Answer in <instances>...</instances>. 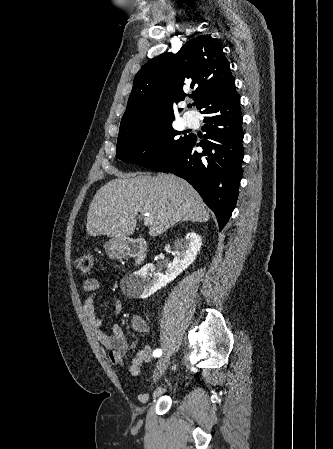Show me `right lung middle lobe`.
I'll return each mask as SVG.
<instances>
[{
	"label": "right lung middle lobe",
	"instance_id": "dd1d6c3e",
	"mask_svg": "<svg viewBox=\"0 0 333 449\" xmlns=\"http://www.w3.org/2000/svg\"><path fill=\"white\" fill-rule=\"evenodd\" d=\"M172 120L117 140L116 158L155 168L168 159L190 137L174 130ZM120 132V129H119Z\"/></svg>",
	"mask_w": 333,
	"mask_h": 449
}]
</instances>
